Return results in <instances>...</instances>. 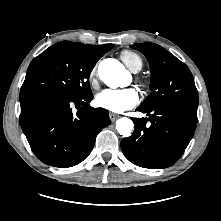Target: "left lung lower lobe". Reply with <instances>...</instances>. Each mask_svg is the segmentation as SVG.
Instances as JSON below:
<instances>
[{
	"label": "left lung lower lobe",
	"instance_id": "obj_1",
	"mask_svg": "<svg viewBox=\"0 0 221 221\" xmlns=\"http://www.w3.org/2000/svg\"><path fill=\"white\" fill-rule=\"evenodd\" d=\"M197 107L185 103H166L151 109L138 107L148 118L132 119L133 134L121 141L125 157L150 169L172 166L184 153L197 125ZM150 121V125L146 122Z\"/></svg>",
	"mask_w": 221,
	"mask_h": 221
}]
</instances>
